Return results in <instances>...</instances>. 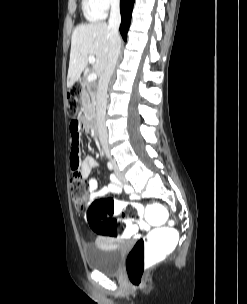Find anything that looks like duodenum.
<instances>
[{"label": "duodenum", "mask_w": 247, "mask_h": 304, "mask_svg": "<svg viewBox=\"0 0 247 304\" xmlns=\"http://www.w3.org/2000/svg\"><path fill=\"white\" fill-rule=\"evenodd\" d=\"M87 87L86 86H82V89H86ZM92 119L90 120V123H91V126L92 127H95L97 130L100 128L99 126H98V124L96 123V116H92L91 117ZM94 134V133H93ZM95 134H97V131H95Z\"/></svg>", "instance_id": "1"}]
</instances>
